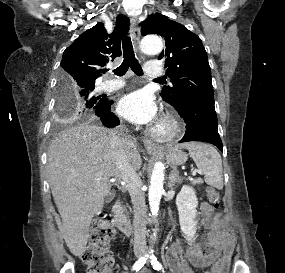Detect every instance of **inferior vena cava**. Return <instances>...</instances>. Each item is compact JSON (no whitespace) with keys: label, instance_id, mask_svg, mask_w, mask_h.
Segmentation results:
<instances>
[{"label":"inferior vena cava","instance_id":"602c4592","mask_svg":"<svg viewBox=\"0 0 285 273\" xmlns=\"http://www.w3.org/2000/svg\"><path fill=\"white\" fill-rule=\"evenodd\" d=\"M113 156L121 173V178L126 183L134 208V252L145 254L146 247V205L144 193L141 190V180L129 163L124 149L123 139L114 136Z\"/></svg>","mask_w":285,"mask_h":273}]
</instances>
